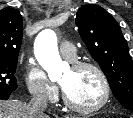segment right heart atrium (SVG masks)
<instances>
[{
    "instance_id": "1",
    "label": "right heart atrium",
    "mask_w": 133,
    "mask_h": 118,
    "mask_svg": "<svg viewBox=\"0 0 133 118\" xmlns=\"http://www.w3.org/2000/svg\"><path fill=\"white\" fill-rule=\"evenodd\" d=\"M26 84L29 92L35 98L52 101L58 95V87L35 62H30L27 66Z\"/></svg>"
}]
</instances>
